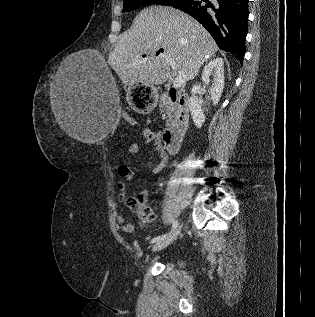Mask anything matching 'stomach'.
I'll return each mask as SVG.
<instances>
[{
    "label": "stomach",
    "mask_w": 315,
    "mask_h": 317,
    "mask_svg": "<svg viewBox=\"0 0 315 317\" xmlns=\"http://www.w3.org/2000/svg\"><path fill=\"white\" fill-rule=\"evenodd\" d=\"M128 95H131L130 108H136V114H155L158 97L153 84H128Z\"/></svg>",
    "instance_id": "1"
}]
</instances>
